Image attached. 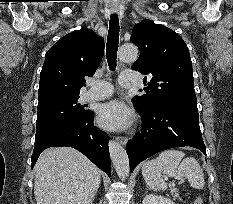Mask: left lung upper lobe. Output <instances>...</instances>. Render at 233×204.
Listing matches in <instances>:
<instances>
[{
	"mask_svg": "<svg viewBox=\"0 0 233 204\" xmlns=\"http://www.w3.org/2000/svg\"><path fill=\"white\" fill-rule=\"evenodd\" d=\"M140 50L133 70L147 75L146 94L132 102L138 111L150 110L161 104L197 108L192 62L188 47L173 30L151 20L135 25L130 38Z\"/></svg>",
	"mask_w": 233,
	"mask_h": 204,
	"instance_id": "obj_1",
	"label": "left lung upper lobe"
}]
</instances>
